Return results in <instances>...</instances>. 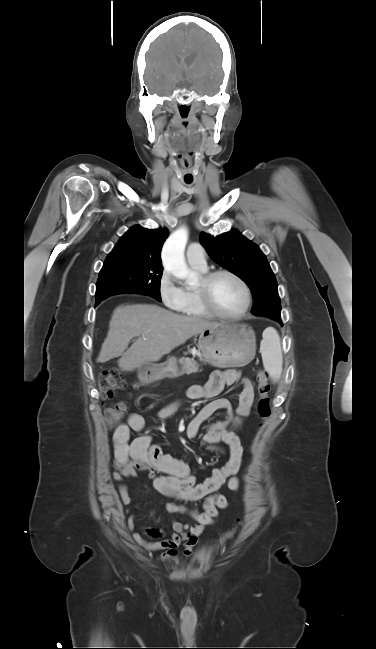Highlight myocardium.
Wrapping results in <instances>:
<instances>
[{
	"label": "myocardium",
	"instance_id": "f54148a6",
	"mask_svg": "<svg viewBox=\"0 0 376 649\" xmlns=\"http://www.w3.org/2000/svg\"><path fill=\"white\" fill-rule=\"evenodd\" d=\"M221 275H227L235 279L239 285L242 287L244 296H245V302L242 307V309L236 313V314H228L220 309H218L212 299H211V286L213 281ZM197 292L200 298V301L204 307V309L209 312L211 315L226 319V320H239L242 319L243 317L246 316V314L249 311L250 305H251V290L247 282L237 273H235L232 270L229 269H218L214 270L211 272L205 273L201 278L200 281L197 285Z\"/></svg>",
	"mask_w": 376,
	"mask_h": 649
}]
</instances>
